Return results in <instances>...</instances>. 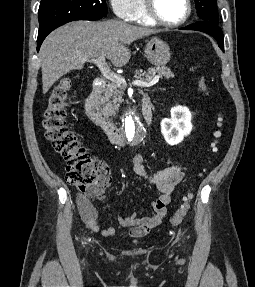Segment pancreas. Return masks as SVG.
<instances>
[{
	"label": "pancreas",
	"instance_id": "pancreas-1",
	"mask_svg": "<svg viewBox=\"0 0 255 287\" xmlns=\"http://www.w3.org/2000/svg\"><path fill=\"white\" fill-rule=\"evenodd\" d=\"M155 74H160V76H164L166 80L169 78H174L173 72L169 70V68H165V66H156V68H149L147 72H143V70H136V74L134 78H141V80H151ZM126 90V84H122V86H117L116 82H112V84H108L106 90L103 92V96L101 98V106H102V114L105 118H110V116H114L117 110L120 108V104L124 102L122 100V96Z\"/></svg>",
	"mask_w": 255,
	"mask_h": 287
}]
</instances>
